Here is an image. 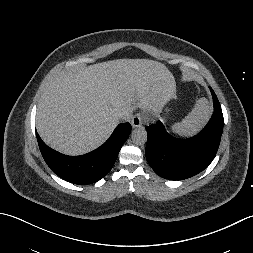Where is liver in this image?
I'll return each mask as SVG.
<instances>
[{
  "mask_svg": "<svg viewBox=\"0 0 253 253\" xmlns=\"http://www.w3.org/2000/svg\"><path fill=\"white\" fill-rule=\"evenodd\" d=\"M175 79L161 63L117 59L61 72L43 93L36 127L51 148L82 155L101 146L134 107L160 110L174 95Z\"/></svg>",
  "mask_w": 253,
  "mask_h": 253,
  "instance_id": "6515ba94",
  "label": "liver"
}]
</instances>
